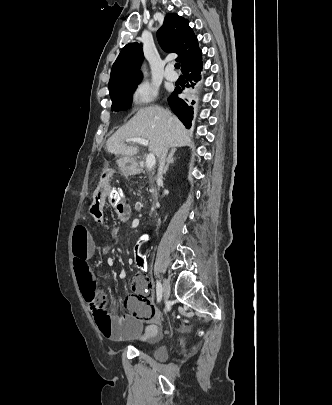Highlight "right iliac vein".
Wrapping results in <instances>:
<instances>
[{
  "instance_id": "63e3f726",
  "label": "right iliac vein",
  "mask_w": 332,
  "mask_h": 405,
  "mask_svg": "<svg viewBox=\"0 0 332 405\" xmlns=\"http://www.w3.org/2000/svg\"><path fill=\"white\" fill-rule=\"evenodd\" d=\"M163 298L167 300L170 296V283L167 279L163 280Z\"/></svg>"
}]
</instances>
